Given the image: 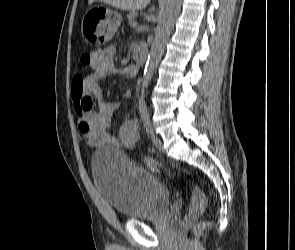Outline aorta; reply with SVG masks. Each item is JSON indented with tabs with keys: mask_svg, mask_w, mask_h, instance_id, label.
<instances>
[{
	"mask_svg": "<svg viewBox=\"0 0 295 250\" xmlns=\"http://www.w3.org/2000/svg\"><path fill=\"white\" fill-rule=\"evenodd\" d=\"M181 3L182 0H166L165 8L159 17V22L155 29L154 40L144 70L139 106L144 105V87L148 86V83L159 64L174 21L179 14Z\"/></svg>",
	"mask_w": 295,
	"mask_h": 250,
	"instance_id": "762f6f07",
	"label": "aorta"
}]
</instances>
